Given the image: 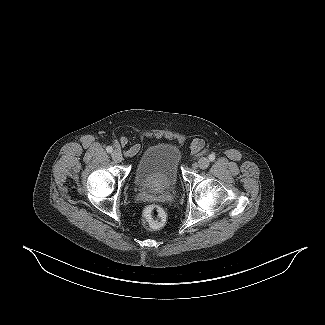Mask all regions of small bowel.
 <instances>
[{"label":"small bowel","mask_w":325,"mask_h":325,"mask_svg":"<svg viewBox=\"0 0 325 325\" xmlns=\"http://www.w3.org/2000/svg\"><path fill=\"white\" fill-rule=\"evenodd\" d=\"M119 144H120L122 147H124L125 144H126L125 139H124V138H121L120 141H119ZM135 152H136V148H135V147H132V148H130V149L127 151V153H128L129 155H132V154H134Z\"/></svg>","instance_id":"c3829d8e"}]
</instances>
